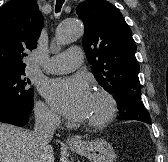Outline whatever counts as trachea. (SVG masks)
<instances>
[{"label":"trachea","mask_w":168,"mask_h":162,"mask_svg":"<svg viewBox=\"0 0 168 162\" xmlns=\"http://www.w3.org/2000/svg\"><path fill=\"white\" fill-rule=\"evenodd\" d=\"M65 0H56V6H55V9H56V12H60L61 10V7L63 5Z\"/></svg>","instance_id":"1"}]
</instances>
